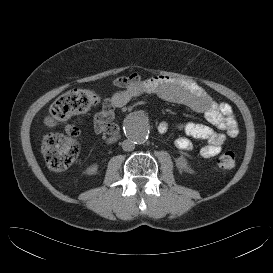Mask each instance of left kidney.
<instances>
[{"mask_svg": "<svg viewBox=\"0 0 273 273\" xmlns=\"http://www.w3.org/2000/svg\"><path fill=\"white\" fill-rule=\"evenodd\" d=\"M176 164L181 169H188V162L183 156L176 159Z\"/></svg>", "mask_w": 273, "mask_h": 273, "instance_id": "1", "label": "left kidney"}]
</instances>
